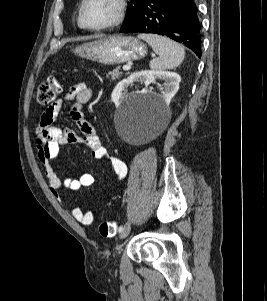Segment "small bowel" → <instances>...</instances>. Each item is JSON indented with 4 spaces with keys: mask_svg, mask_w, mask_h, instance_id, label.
I'll list each match as a JSON object with an SVG mask.
<instances>
[{
    "mask_svg": "<svg viewBox=\"0 0 267 301\" xmlns=\"http://www.w3.org/2000/svg\"><path fill=\"white\" fill-rule=\"evenodd\" d=\"M92 95V88L85 82L74 84L65 97L57 100L44 111L36 128L35 142L38 159L44 166L49 189L58 200L60 199V189L62 187L75 191L83 187H89L94 183V177L89 172L82 173L78 178L66 177L61 179L58 176L52 162L57 158L61 146L84 144L90 148L95 159L107 161L112 166L117 180H122L127 173V166L124 161L111 155L102 146L95 128L83 116L82 107L89 102ZM66 101L73 102L71 116L80 131L79 134L54 124ZM71 214L75 221L83 225H91L94 221L92 212L83 211L79 207H73Z\"/></svg>",
    "mask_w": 267,
    "mask_h": 301,
    "instance_id": "obj_1",
    "label": "small bowel"
}]
</instances>
